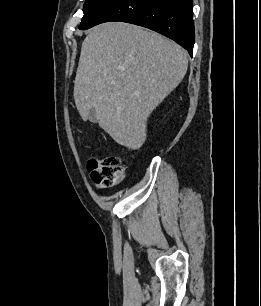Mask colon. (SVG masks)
I'll list each match as a JSON object with an SVG mask.
<instances>
[{
    "mask_svg": "<svg viewBox=\"0 0 261 306\" xmlns=\"http://www.w3.org/2000/svg\"><path fill=\"white\" fill-rule=\"evenodd\" d=\"M88 168L93 183L99 188L119 183L125 176L122 159L118 156H108L100 161L91 160Z\"/></svg>",
    "mask_w": 261,
    "mask_h": 306,
    "instance_id": "5ec220e1",
    "label": "colon"
}]
</instances>
